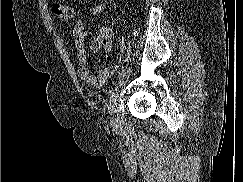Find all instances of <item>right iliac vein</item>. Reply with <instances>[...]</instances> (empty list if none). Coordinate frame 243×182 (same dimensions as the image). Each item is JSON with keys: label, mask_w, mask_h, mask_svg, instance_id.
I'll return each mask as SVG.
<instances>
[{"label": "right iliac vein", "mask_w": 243, "mask_h": 182, "mask_svg": "<svg viewBox=\"0 0 243 182\" xmlns=\"http://www.w3.org/2000/svg\"><path fill=\"white\" fill-rule=\"evenodd\" d=\"M123 82H124V79L122 81H120V83L118 84V87H120L123 84ZM116 107H117V100H116V95L114 94V96L111 98L110 104H109V113H110V118H111V124L114 127L117 126V123H118Z\"/></svg>", "instance_id": "1"}]
</instances>
